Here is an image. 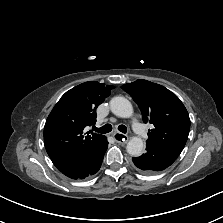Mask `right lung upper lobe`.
<instances>
[{
  "label": "right lung upper lobe",
  "instance_id": "cb5924a9",
  "mask_svg": "<svg viewBox=\"0 0 223 223\" xmlns=\"http://www.w3.org/2000/svg\"><path fill=\"white\" fill-rule=\"evenodd\" d=\"M112 88L85 82L67 91L54 106L44 127V143L57 169L84 159L106 139L97 133H85L84 128L96 123V108Z\"/></svg>",
  "mask_w": 223,
  "mask_h": 223
}]
</instances>
